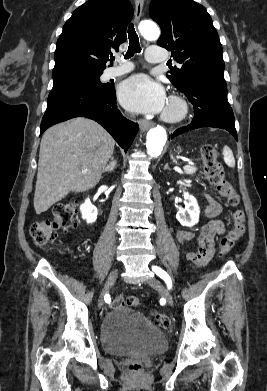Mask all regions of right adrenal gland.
<instances>
[{"label":"right adrenal gland","mask_w":267,"mask_h":391,"mask_svg":"<svg viewBox=\"0 0 267 391\" xmlns=\"http://www.w3.org/2000/svg\"><path fill=\"white\" fill-rule=\"evenodd\" d=\"M116 164H117V161L114 158H112V161L109 163V165L106 166V168L103 170V173H106V172L109 173V172L114 171Z\"/></svg>","instance_id":"2a0ac1e0"}]
</instances>
